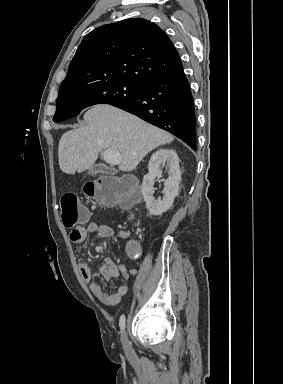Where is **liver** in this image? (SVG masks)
<instances>
[{
	"label": "liver",
	"instance_id": "1",
	"mask_svg": "<svg viewBox=\"0 0 283 384\" xmlns=\"http://www.w3.org/2000/svg\"><path fill=\"white\" fill-rule=\"evenodd\" d=\"M83 118L86 126L66 132L59 142V166L65 174L92 168L103 150L119 152V170L132 172L154 148L174 140L168 132L107 104L92 106Z\"/></svg>",
	"mask_w": 283,
	"mask_h": 384
}]
</instances>
